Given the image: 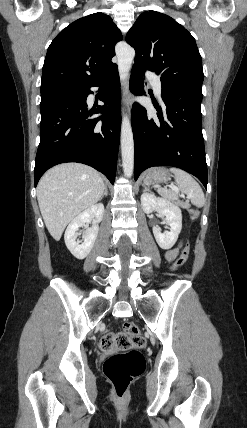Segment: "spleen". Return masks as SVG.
<instances>
[{"label":"spleen","mask_w":247,"mask_h":428,"mask_svg":"<svg viewBox=\"0 0 247 428\" xmlns=\"http://www.w3.org/2000/svg\"><path fill=\"white\" fill-rule=\"evenodd\" d=\"M170 171L175 174V180L179 189L183 194L188 196L191 203L196 207H203L205 204L204 193L192 176L179 168H171ZM158 192L169 200H177L179 197L172 189L160 188Z\"/></svg>","instance_id":"1"}]
</instances>
